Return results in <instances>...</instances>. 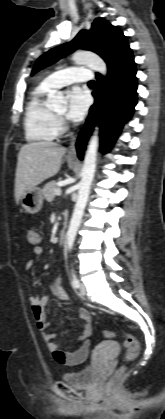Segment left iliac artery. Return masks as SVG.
I'll use <instances>...</instances> for the list:
<instances>
[{"label": "left iliac artery", "instance_id": "1", "mask_svg": "<svg viewBox=\"0 0 165 419\" xmlns=\"http://www.w3.org/2000/svg\"><path fill=\"white\" fill-rule=\"evenodd\" d=\"M72 284L75 288H79L80 286L79 280L73 271H72Z\"/></svg>", "mask_w": 165, "mask_h": 419}]
</instances>
